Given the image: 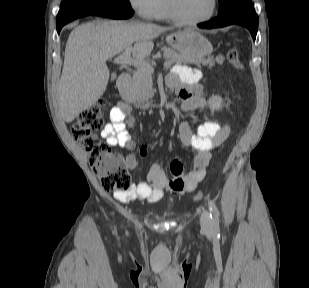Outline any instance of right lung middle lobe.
<instances>
[{
  "mask_svg": "<svg viewBox=\"0 0 309 288\" xmlns=\"http://www.w3.org/2000/svg\"><path fill=\"white\" fill-rule=\"evenodd\" d=\"M106 5L131 8L129 0H63L56 18V24L66 20L71 15L91 6Z\"/></svg>",
  "mask_w": 309,
  "mask_h": 288,
  "instance_id": "dd1d6c3e",
  "label": "right lung middle lobe"
}]
</instances>
